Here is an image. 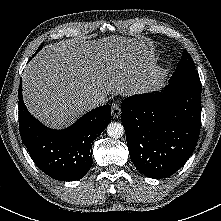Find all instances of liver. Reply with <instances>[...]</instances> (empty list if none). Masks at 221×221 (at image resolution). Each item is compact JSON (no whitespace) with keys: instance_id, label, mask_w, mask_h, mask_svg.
I'll return each instance as SVG.
<instances>
[{"instance_id":"obj_1","label":"liver","mask_w":221,"mask_h":221,"mask_svg":"<svg viewBox=\"0 0 221 221\" xmlns=\"http://www.w3.org/2000/svg\"><path fill=\"white\" fill-rule=\"evenodd\" d=\"M149 46L123 36L47 45L25 67V105L46 126L66 127L92 108L89 98L133 93L152 69Z\"/></svg>"}]
</instances>
